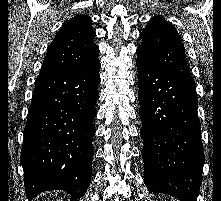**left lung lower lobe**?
<instances>
[{
  "instance_id": "left-lung-lower-lobe-1",
  "label": "left lung lower lobe",
  "mask_w": 221,
  "mask_h": 201,
  "mask_svg": "<svg viewBox=\"0 0 221 201\" xmlns=\"http://www.w3.org/2000/svg\"><path fill=\"white\" fill-rule=\"evenodd\" d=\"M144 182L150 193L197 201L205 162L192 78L137 59Z\"/></svg>"
}]
</instances>
